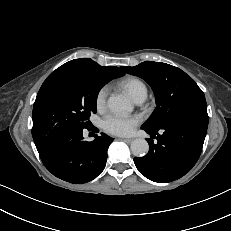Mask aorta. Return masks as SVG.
Here are the masks:
<instances>
[{
  "label": "aorta",
  "instance_id": "1",
  "mask_svg": "<svg viewBox=\"0 0 231 231\" xmlns=\"http://www.w3.org/2000/svg\"><path fill=\"white\" fill-rule=\"evenodd\" d=\"M110 110L115 113L131 112L133 107L123 95H112L107 101ZM131 152L136 157L145 156L149 151V144L145 139H134L130 145Z\"/></svg>",
  "mask_w": 231,
  "mask_h": 231
}]
</instances>
